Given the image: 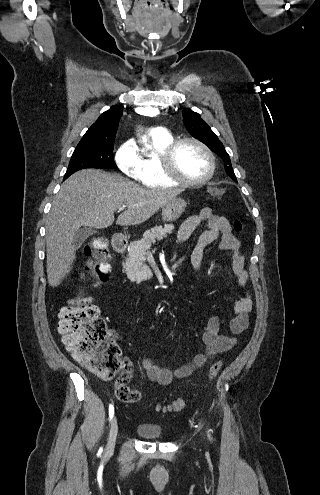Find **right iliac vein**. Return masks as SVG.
<instances>
[{
	"instance_id": "obj_1",
	"label": "right iliac vein",
	"mask_w": 320,
	"mask_h": 495,
	"mask_svg": "<svg viewBox=\"0 0 320 495\" xmlns=\"http://www.w3.org/2000/svg\"><path fill=\"white\" fill-rule=\"evenodd\" d=\"M117 433H118V424L116 417H114L111 423L108 442L105 449L106 454H110L114 451Z\"/></svg>"
}]
</instances>
